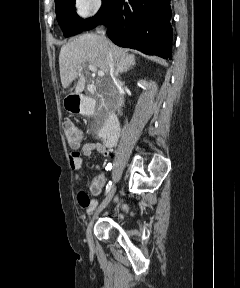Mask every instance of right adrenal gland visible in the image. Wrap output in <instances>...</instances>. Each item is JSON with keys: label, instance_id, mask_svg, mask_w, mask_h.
Wrapping results in <instances>:
<instances>
[{"label": "right adrenal gland", "instance_id": "2a0ac1e0", "mask_svg": "<svg viewBox=\"0 0 240 288\" xmlns=\"http://www.w3.org/2000/svg\"><path fill=\"white\" fill-rule=\"evenodd\" d=\"M134 65H135V61L116 64V71L118 74L127 73L129 70L133 68Z\"/></svg>", "mask_w": 240, "mask_h": 288}]
</instances>
